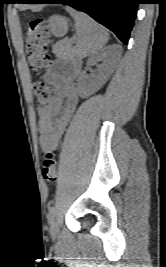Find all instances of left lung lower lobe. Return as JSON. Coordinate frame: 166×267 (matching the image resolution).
I'll list each match as a JSON object with an SVG mask.
<instances>
[{
  "label": "left lung lower lobe",
  "mask_w": 166,
  "mask_h": 267,
  "mask_svg": "<svg viewBox=\"0 0 166 267\" xmlns=\"http://www.w3.org/2000/svg\"><path fill=\"white\" fill-rule=\"evenodd\" d=\"M22 3H62L89 14L128 44L139 0H23Z\"/></svg>",
  "instance_id": "1"
}]
</instances>
